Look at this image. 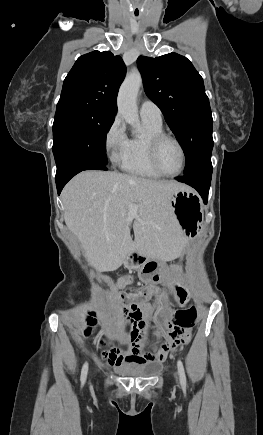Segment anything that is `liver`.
I'll use <instances>...</instances> for the list:
<instances>
[{"label": "liver", "mask_w": 263, "mask_h": 435, "mask_svg": "<svg viewBox=\"0 0 263 435\" xmlns=\"http://www.w3.org/2000/svg\"><path fill=\"white\" fill-rule=\"evenodd\" d=\"M184 188L174 180L84 171L62 191L65 223L78 238L88 262L99 270L118 269L133 252L172 261L182 253L185 237L173 213L171 196ZM129 205L137 206L136 217L130 221Z\"/></svg>", "instance_id": "6515ba94"}]
</instances>
